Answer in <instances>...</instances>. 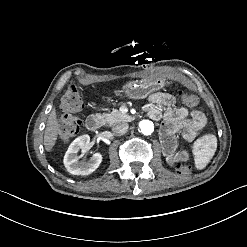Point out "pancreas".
Listing matches in <instances>:
<instances>
[{
  "instance_id": "obj_1",
  "label": "pancreas",
  "mask_w": 247,
  "mask_h": 247,
  "mask_svg": "<svg viewBox=\"0 0 247 247\" xmlns=\"http://www.w3.org/2000/svg\"><path fill=\"white\" fill-rule=\"evenodd\" d=\"M103 117L110 125H112L117 122L126 121L129 116L121 113L117 109H113L110 113H104Z\"/></svg>"
}]
</instances>
